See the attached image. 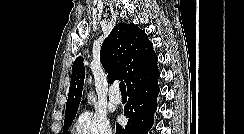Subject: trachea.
<instances>
[{"label": "trachea", "mask_w": 244, "mask_h": 134, "mask_svg": "<svg viewBox=\"0 0 244 134\" xmlns=\"http://www.w3.org/2000/svg\"><path fill=\"white\" fill-rule=\"evenodd\" d=\"M119 88H120V91H121L122 94H126V85H125V83L123 81L120 82Z\"/></svg>", "instance_id": "3493384b"}]
</instances>
